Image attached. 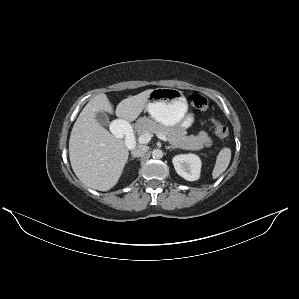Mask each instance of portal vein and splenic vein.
Segmentation results:
<instances>
[{"instance_id":"1","label":"portal vein and splenic vein","mask_w":299,"mask_h":299,"mask_svg":"<svg viewBox=\"0 0 299 299\" xmlns=\"http://www.w3.org/2000/svg\"><path fill=\"white\" fill-rule=\"evenodd\" d=\"M157 137L161 140H163L164 142H168V139L166 138V136H164L163 134L161 133H156ZM152 138V135L149 134V133H145V134H141L139 137H138V142L140 144H146L148 143Z\"/></svg>"}]
</instances>
